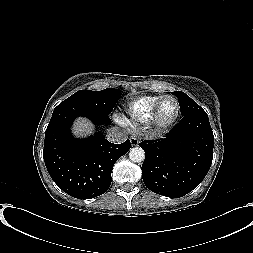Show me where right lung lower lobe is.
<instances>
[{"instance_id":"1","label":"right lung lower lobe","mask_w":253,"mask_h":253,"mask_svg":"<svg viewBox=\"0 0 253 253\" xmlns=\"http://www.w3.org/2000/svg\"><path fill=\"white\" fill-rule=\"evenodd\" d=\"M77 116H85L95 124H110L107 114L84 106L58 105L45 133L43 156L47 170L67 194L91 199L105 193L111 185L115 162L130 149V140L113 144L96 132L87 139H76L70 126Z\"/></svg>"}]
</instances>
